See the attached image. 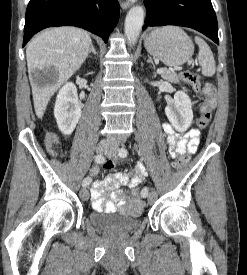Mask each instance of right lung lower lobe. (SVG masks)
Instances as JSON below:
<instances>
[{
  "label": "right lung lower lobe",
  "mask_w": 247,
  "mask_h": 275,
  "mask_svg": "<svg viewBox=\"0 0 247 275\" xmlns=\"http://www.w3.org/2000/svg\"><path fill=\"white\" fill-rule=\"evenodd\" d=\"M119 13L117 0H30L23 46L40 30L55 26L81 27L107 42Z\"/></svg>",
  "instance_id": "obj_1"
}]
</instances>
